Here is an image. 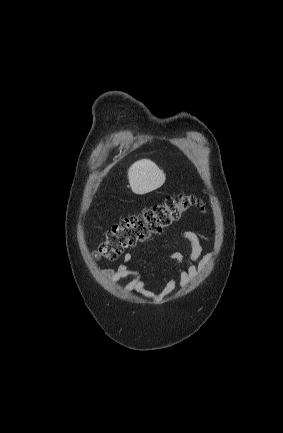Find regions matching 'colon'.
Masks as SVG:
<instances>
[{"label":"colon","mask_w":283,"mask_h":433,"mask_svg":"<svg viewBox=\"0 0 283 433\" xmlns=\"http://www.w3.org/2000/svg\"><path fill=\"white\" fill-rule=\"evenodd\" d=\"M191 208L204 210V204L195 195L181 193L167 197L163 203L139 214L125 217L107 231L95 254L99 258L113 261L126 249L166 231Z\"/></svg>","instance_id":"obj_1"}]
</instances>
